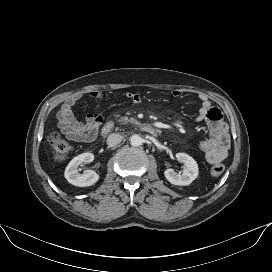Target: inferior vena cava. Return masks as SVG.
<instances>
[{
    "mask_svg": "<svg viewBox=\"0 0 272 272\" xmlns=\"http://www.w3.org/2000/svg\"><path fill=\"white\" fill-rule=\"evenodd\" d=\"M122 141V136L120 134H110L107 138V144L110 147L116 146Z\"/></svg>",
    "mask_w": 272,
    "mask_h": 272,
    "instance_id": "602c4592",
    "label": "inferior vena cava"
}]
</instances>
